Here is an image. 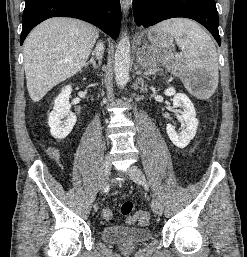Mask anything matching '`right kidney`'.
Returning <instances> with one entry per match:
<instances>
[{
  "mask_svg": "<svg viewBox=\"0 0 247 257\" xmlns=\"http://www.w3.org/2000/svg\"><path fill=\"white\" fill-rule=\"evenodd\" d=\"M72 92L70 85L64 87L54 100L53 111L49 114L48 125L51 135L58 140L64 139L72 131L77 117L70 111L69 96ZM62 119H64L62 121Z\"/></svg>",
  "mask_w": 247,
  "mask_h": 257,
  "instance_id": "right-kidney-1",
  "label": "right kidney"
}]
</instances>
